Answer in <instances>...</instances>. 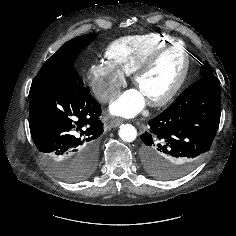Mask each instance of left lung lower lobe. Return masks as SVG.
Here are the masks:
<instances>
[{
  "instance_id": "left-lung-lower-lobe-1",
  "label": "left lung lower lobe",
  "mask_w": 236,
  "mask_h": 236,
  "mask_svg": "<svg viewBox=\"0 0 236 236\" xmlns=\"http://www.w3.org/2000/svg\"><path fill=\"white\" fill-rule=\"evenodd\" d=\"M219 80L201 77L165 111L149 120L143 141L144 169L170 179L192 169L209 151L220 122Z\"/></svg>"
}]
</instances>
